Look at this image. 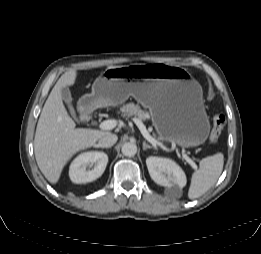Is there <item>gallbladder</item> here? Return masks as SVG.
<instances>
[{
  "label": "gallbladder",
  "instance_id": "1",
  "mask_svg": "<svg viewBox=\"0 0 261 254\" xmlns=\"http://www.w3.org/2000/svg\"><path fill=\"white\" fill-rule=\"evenodd\" d=\"M61 95H62L63 100H64V101L68 104V106L70 107L71 113L74 114L73 107L71 106L72 96H71V93H70L69 88L63 87V88L61 89Z\"/></svg>",
  "mask_w": 261,
  "mask_h": 254
}]
</instances>
